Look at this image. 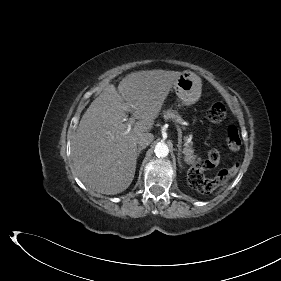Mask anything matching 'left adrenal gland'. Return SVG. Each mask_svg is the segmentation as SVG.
Returning <instances> with one entry per match:
<instances>
[{
  "label": "left adrenal gland",
  "mask_w": 281,
  "mask_h": 281,
  "mask_svg": "<svg viewBox=\"0 0 281 281\" xmlns=\"http://www.w3.org/2000/svg\"><path fill=\"white\" fill-rule=\"evenodd\" d=\"M178 163H179V166L182 167V163H181V153H180V152L178 153Z\"/></svg>",
  "instance_id": "a2214340"
}]
</instances>
